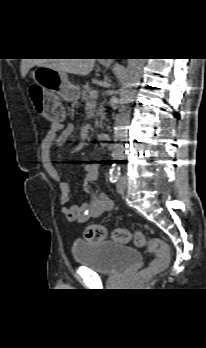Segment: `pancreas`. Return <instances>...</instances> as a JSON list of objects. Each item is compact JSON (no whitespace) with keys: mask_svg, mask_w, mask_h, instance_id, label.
<instances>
[{"mask_svg":"<svg viewBox=\"0 0 206 348\" xmlns=\"http://www.w3.org/2000/svg\"><path fill=\"white\" fill-rule=\"evenodd\" d=\"M92 88L87 82L82 89V100L85 102V104L94 102L95 99L90 96V93L92 92ZM105 120V114H104V108L102 106L99 107L98 111H96V120H95V127L102 128L103 121Z\"/></svg>","mask_w":206,"mask_h":348,"instance_id":"1","label":"pancreas"}]
</instances>
